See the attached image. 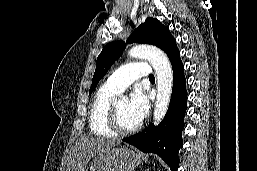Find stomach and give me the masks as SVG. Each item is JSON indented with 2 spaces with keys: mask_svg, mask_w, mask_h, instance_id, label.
<instances>
[{
  "mask_svg": "<svg viewBox=\"0 0 257 171\" xmlns=\"http://www.w3.org/2000/svg\"><path fill=\"white\" fill-rule=\"evenodd\" d=\"M141 161L140 153L113 147L96 156L87 171H133Z\"/></svg>",
  "mask_w": 257,
  "mask_h": 171,
  "instance_id": "0dacf381",
  "label": "stomach"
}]
</instances>
